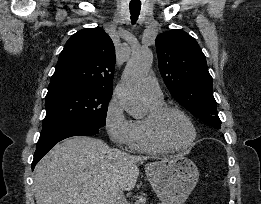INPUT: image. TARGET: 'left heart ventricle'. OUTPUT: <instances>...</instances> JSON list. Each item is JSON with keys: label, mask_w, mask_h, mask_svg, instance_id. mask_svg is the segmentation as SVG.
Returning a JSON list of instances; mask_svg holds the SVG:
<instances>
[{"label": "left heart ventricle", "mask_w": 261, "mask_h": 204, "mask_svg": "<svg viewBox=\"0 0 261 204\" xmlns=\"http://www.w3.org/2000/svg\"><path fill=\"white\" fill-rule=\"evenodd\" d=\"M163 133L167 140L176 146L187 144L192 137V129L179 114H169L163 122Z\"/></svg>", "instance_id": "obj_1"}]
</instances>
